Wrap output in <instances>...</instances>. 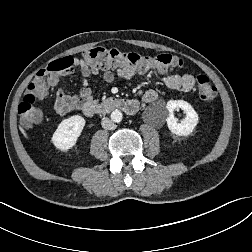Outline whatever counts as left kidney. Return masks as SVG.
I'll use <instances>...</instances> for the list:
<instances>
[{
	"instance_id": "obj_1",
	"label": "left kidney",
	"mask_w": 252,
	"mask_h": 252,
	"mask_svg": "<svg viewBox=\"0 0 252 252\" xmlns=\"http://www.w3.org/2000/svg\"><path fill=\"white\" fill-rule=\"evenodd\" d=\"M168 116L166 118L169 130L178 136H188L191 134L198 124V114L193 107L184 100H170L166 104ZM182 109L186 117L182 119L181 123L174 117L173 111Z\"/></svg>"
}]
</instances>
